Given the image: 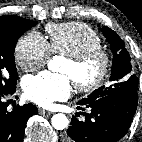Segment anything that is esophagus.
<instances>
[{
    "label": "esophagus",
    "instance_id": "34e87169",
    "mask_svg": "<svg viewBox=\"0 0 142 142\" xmlns=\"http://www.w3.org/2000/svg\"><path fill=\"white\" fill-rule=\"evenodd\" d=\"M39 113H40L41 115H50V114H51L50 111H47V110H44V109H39Z\"/></svg>",
    "mask_w": 142,
    "mask_h": 142
}]
</instances>
